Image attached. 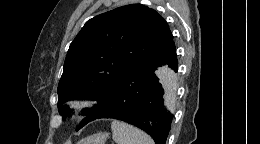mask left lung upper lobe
Masks as SVG:
<instances>
[{
	"label": "left lung upper lobe",
	"instance_id": "obj_1",
	"mask_svg": "<svg viewBox=\"0 0 260 144\" xmlns=\"http://www.w3.org/2000/svg\"><path fill=\"white\" fill-rule=\"evenodd\" d=\"M173 41L167 22L153 9L131 4L87 21L70 44L58 84L59 106L73 98L97 101L82 128L102 113L122 77ZM170 62L160 63L158 67ZM60 114L69 109L59 107Z\"/></svg>",
	"mask_w": 260,
	"mask_h": 144
}]
</instances>
